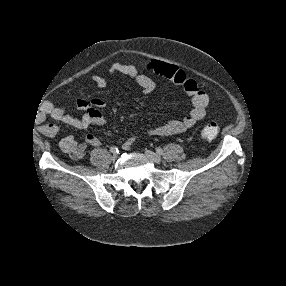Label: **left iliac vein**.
Wrapping results in <instances>:
<instances>
[{
    "instance_id": "1",
    "label": "left iliac vein",
    "mask_w": 286,
    "mask_h": 286,
    "mask_svg": "<svg viewBox=\"0 0 286 286\" xmlns=\"http://www.w3.org/2000/svg\"><path fill=\"white\" fill-rule=\"evenodd\" d=\"M145 153H146L147 157L154 163H160L162 161L161 156L156 154L153 151L146 150Z\"/></svg>"
}]
</instances>
